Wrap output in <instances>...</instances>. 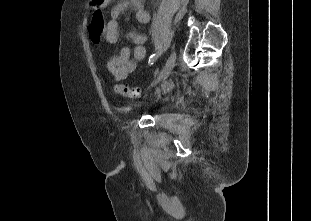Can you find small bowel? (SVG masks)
<instances>
[{
    "label": "small bowel",
    "instance_id": "c3829d8e",
    "mask_svg": "<svg viewBox=\"0 0 311 221\" xmlns=\"http://www.w3.org/2000/svg\"><path fill=\"white\" fill-rule=\"evenodd\" d=\"M128 8L135 13V19L140 24H147L150 21L149 13L144 9L143 0H123L112 7L110 20L105 29L107 42L115 44L119 39V18ZM130 39L135 43L133 52L129 47H123L119 54L113 55L108 61V70L117 80L124 79L137 67V62L146 56L144 47L145 36L141 33L130 32Z\"/></svg>",
    "mask_w": 311,
    "mask_h": 221
}]
</instances>
